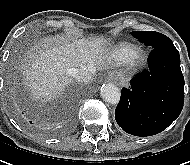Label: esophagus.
I'll use <instances>...</instances> for the list:
<instances>
[{
  "instance_id": "esophagus-1",
  "label": "esophagus",
  "mask_w": 190,
  "mask_h": 165,
  "mask_svg": "<svg viewBox=\"0 0 190 165\" xmlns=\"http://www.w3.org/2000/svg\"><path fill=\"white\" fill-rule=\"evenodd\" d=\"M107 79H108V80H112V81H113V80H116V79H117V75L111 73V74H109V75L107 76Z\"/></svg>"
}]
</instances>
